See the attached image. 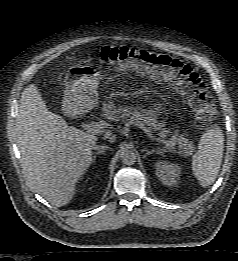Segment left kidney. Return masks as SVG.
Segmentation results:
<instances>
[{
    "label": "left kidney",
    "instance_id": "1",
    "mask_svg": "<svg viewBox=\"0 0 238 261\" xmlns=\"http://www.w3.org/2000/svg\"><path fill=\"white\" fill-rule=\"evenodd\" d=\"M155 171L160 181L167 186H176L180 178L181 167L166 161H157Z\"/></svg>",
    "mask_w": 238,
    "mask_h": 261
}]
</instances>
